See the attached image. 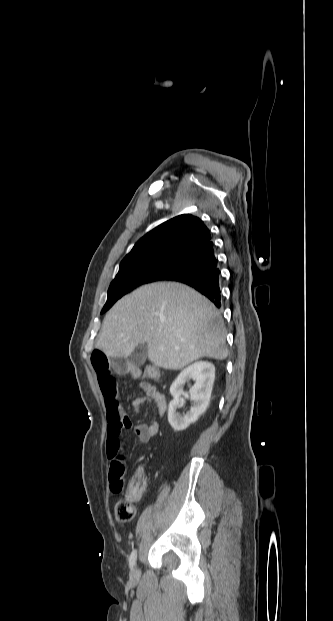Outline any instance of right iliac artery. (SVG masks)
Returning <instances> with one entry per match:
<instances>
[{"mask_svg":"<svg viewBox=\"0 0 333 621\" xmlns=\"http://www.w3.org/2000/svg\"><path fill=\"white\" fill-rule=\"evenodd\" d=\"M136 559H137V550L134 549L132 551L131 555H130V558H129V566H130L131 569L134 568L135 563H136Z\"/></svg>","mask_w":333,"mask_h":621,"instance_id":"obj_1","label":"right iliac artery"}]
</instances>
